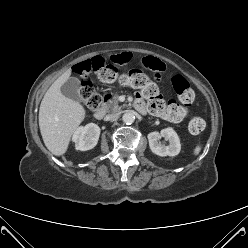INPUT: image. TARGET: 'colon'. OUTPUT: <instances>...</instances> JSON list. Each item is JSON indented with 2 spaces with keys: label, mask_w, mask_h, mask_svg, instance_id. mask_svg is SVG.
I'll use <instances>...</instances> for the list:
<instances>
[{
  "label": "colon",
  "mask_w": 248,
  "mask_h": 248,
  "mask_svg": "<svg viewBox=\"0 0 248 248\" xmlns=\"http://www.w3.org/2000/svg\"><path fill=\"white\" fill-rule=\"evenodd\" d=\"M91 69L98 70V78L102 83H118L122 86L140 89L148 100L149 111L157 116L169 120H178L184 114L183 106H190L195 100V93L189 82L181 75H175L171 79V85L177 95L179 103H166L159 93L157 84L139 70H131L119 73L112 65H105L101 57L85 61L76 67V71L82 77L79 95L91 111H96L102 104L101 96L95 91L88 75ZM192 134H199L205 128V121L199 115H194L188 125Z\"/></svg>",
  "instance_id": "colon-1"
}]
</instances>
